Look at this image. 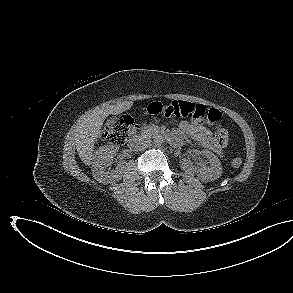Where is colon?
I'll return each instance as SVG.
<instances>
[{"instance_id":"obj_1","label":"colon","mask_w":293,"mask_h":293,"mask_svg":"<svg viewBox=\"0 0 293 293\" xmlns=\"http://www.w3.org/2000/svg\"><path fill=\"white\" fill-rule=\"evenodd\" d=\"M145 114L150 116H161L166 118H192L194 120H207L216 123L221 118V112L215 108H207L203 104L193 103L184 100H175L170 104L161 102L151 103ZM136 124L133 118L129 115L122 116L117 120L107 123L103 130L105 138L115 144L126 143L136 132ZM229 140L227 129L218 126L216 132V141L223 148ZM242 163L241 158L234 157L230 164L233 168H239Z\"/></svg>"}]
</instances>
